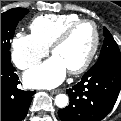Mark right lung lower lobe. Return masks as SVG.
<instances>
[{
    "label": "right lung lower lobe",
    "instance_id": "1",
    "mask_svg": "<svg viewBox=\"0 0 121 121\" xmlns=\"http://www.w3.org/2000/svg\"><path fill=\"white\" fill-rule=\"evenodd\" d=\"M15 71L11 63L1 62V121L23 120L36 92L18 89Z\"/></svg>",
    "mask_w": 121,
    "mask_h": 121
}]
</instances>
